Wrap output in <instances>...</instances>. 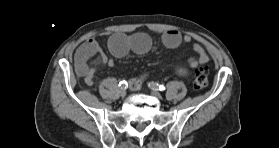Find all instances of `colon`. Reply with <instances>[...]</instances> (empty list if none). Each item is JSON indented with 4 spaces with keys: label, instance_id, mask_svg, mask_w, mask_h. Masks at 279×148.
I'll use <instances>...</instances> for the list:
<instances>
[{
    "label": "colon",
    "instance_id": "colon-1",
    "mask_svg": "<svg viewBox=\"0 0 279 148\" xmlns=\"http://www.w3.org/2000/svg\"><path fill=\"white\" fill-rule=\"evenodd\" d=\"M208 76L209 70L207 67L202 66L196 69L194 80H193V87L196 90H201L208 85Z\"/></svg>",
    "mask_w": 279,
    "mask_h": 148
}]
</instances>
